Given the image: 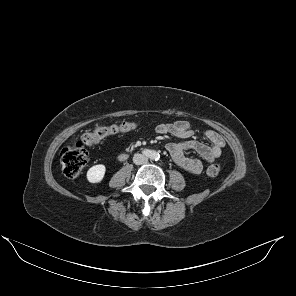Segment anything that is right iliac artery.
Instances as JSON below:
<instances>
[{"mask_svg": "<svg viewBox=\"0 0 296 296\" xmlns=\"http://www.w3.org/2000/svg\"><path fill=\"white\" fill-rule=\"evenodd\" d=\"M143 153L146 155V156H149L151 154V152L149 150H144Z\"/></svg>", "mask_w": 296, "mask_h": 296, "instance_id": "obj_1", "label": "right iliac artery"}]
</instances>
